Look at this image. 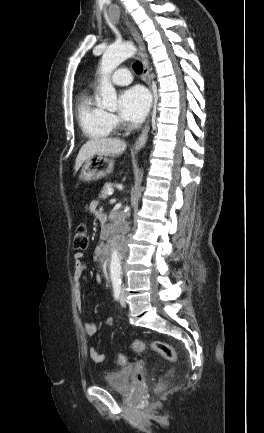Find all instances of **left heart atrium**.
I'll use <instances>...</instances> for the list:
<instances>
[{
  "mask_svg": "<svg viewBox=\"0 0 264 433\" xmlns=\"http://www.w3.org/2000/svg\"><path fill=\"white\" fill-rule=\"evenodd\" d=\"M149 107V94L140 86L126 89L119 97V115L125 122H141L145 118Z\"/></svg>",
  "mask_w": 264,
  "mask_h": 433,
  "instance_id": "left-heart-atrium-1",
  "label": "left heart atrium"
}]
</instances>
